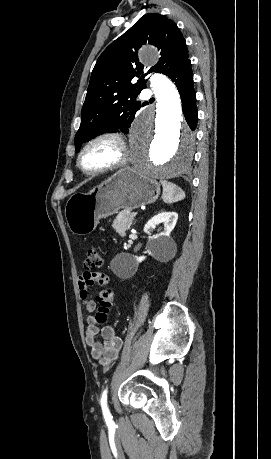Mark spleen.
I'll use <instances>...</instances> for the list:
<instances>
[{"label": "spleen", "mask_w": 271, "mask_h": 459, "mask_svg": "<svg viewBox=\"0 0 271 459\" xmlns=\"http://www.w3.org/2000/svg\"><path fill=\"white\" fill-rule=\"evenodd\" d=\"M163 194L162 200L165 204H173V202H178L177 198V188L175 184H171V182H166V180H161Z\"/></svg>", "instance_id": "spleen-1"}]
</instances>
